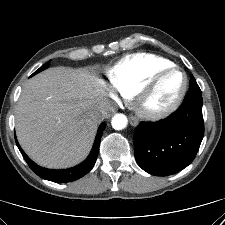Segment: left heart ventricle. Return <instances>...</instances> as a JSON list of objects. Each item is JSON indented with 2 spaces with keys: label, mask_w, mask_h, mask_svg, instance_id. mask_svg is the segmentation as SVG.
<instances>
[{
  "label": "left heart ventricle",
  "mask_w": 225,
  "mask_h": 225,
  "mask_svg": "<svg viewBox=\"0 0 225 225\" xmlns=\"http://www.w3.org/2000/svg\"><path fill=\"white\" fill-rule=\"evenodd\" d=\"M181 81L178 73L165 77L146 101V107L156 109L167 104L177 91Z\"/></svg>",
  "instance_id": "obj_1"
}]
</instances>
